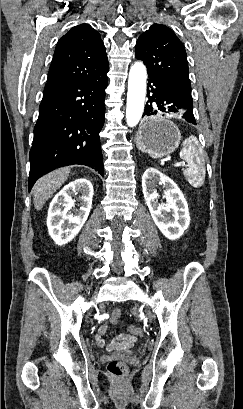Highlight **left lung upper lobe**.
Listing matches in <instances>:
<instances>
[{"mask_svg":"<svg viewBox=\"0 0 243 409\" xmlns=\"http://www.w3.org/2000/svg\"><path fill=\"white\" fill-rule=\"evenodd\" d=\"M135 55L147 66L148 76L191 92L185 48L165 25L154 24L137 40Z\"/></svg>","mask_w":243,"mask_h":409,"instance_id":"left-lung-upper-lobe-1","label":"left lung upper lobe"}]
</instances>
